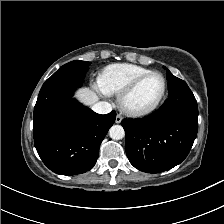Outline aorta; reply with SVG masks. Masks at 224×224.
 I'll list each match as a JSON object with an SVG mask.
<instances>
[{"mask_svg": "<svg viewBox=\"0 0 224 224\" xmlns=\"http://www.w3.org/2000/svg\"><path fill=\"white\" fill-rule=\"evenodd\" d=\"M109 136L113 140H120L125 136V131L121 125H113L109 129Z\"/></svg>", "mask_w": 224, "mask_h": 224, "instance_id": "obj_1", "label": "aorta"}]
</instances>
